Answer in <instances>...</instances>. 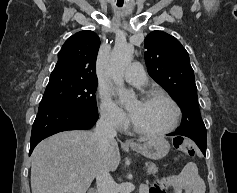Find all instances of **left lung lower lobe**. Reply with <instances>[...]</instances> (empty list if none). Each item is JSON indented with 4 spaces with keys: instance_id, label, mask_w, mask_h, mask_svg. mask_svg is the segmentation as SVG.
I'll return each mask as SVG.
<instances>
[{
    "instance_id": "0a47b994",
    "label": "left lung lower lobe",
    "mask_w": 237,
    "mask_h": 193,
    "mask_svg": "<svg viewBox=\"0 0 237 193\" xmlns=\"http://www.w3.org/2000/svg\"><path fill=\"white\" fill-rule=\"evenodd\" d=\"M169 135L173 136V135H182V134H179L178 132H174ZM183 136H185V135H183ZM186 137H189L190 139H192L197 144V146L200 148V150L203 152V154L206 155L207 141H202V140H199V139L191 137V136H186Z\"/></svg>"
}]
</instances>
